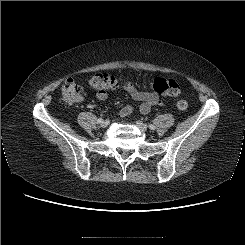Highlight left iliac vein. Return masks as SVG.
<instances>
[{
	"mask_svg": "<svg viewBox=\"0 0 245 245\" xmlns=\"http://www.w3.org/2000/svg\"><path fill=\"white\" fill-rule=\"evenodd\" d=\"M136 125L143 131H147V125L143 124L141 121H136Z\"/></svg>",
	"mask_w": 245,
	"mask_h": 245,
	"instance_id": "obj_1",
	"label": "left iliac vein"
}]
</instances>
